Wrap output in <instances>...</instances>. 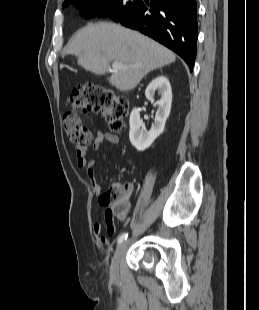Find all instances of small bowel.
<instances>
[{"mask_svg":"<svg viewBox=\"0 0 259 310\" xmlns=\"http://www.w3.org/2000/svg\"><path fill=\"white\" fill-rule=\"evenodd\" d=\"M119 141L118 137L114 134L105 133L102 131H98L92 141V146L94 149H99L105 142L111 143V144H117ZM75 154H76V162L79 168L84 169L87 175V178L90 181L93 193L95 195H99L101 192V185L97 181L96 172L94 170L95 161L93 159L87 158V148L85 146H77L75 148ZM126 190L128 192V195L130 197L133 186L131 184L125 185ZM105 217V223L107 226V233L109 235L115 234V225L113 220V215L111 213L104 212ZM124 225L128 223V220H124ZM93 232L97 235H100L102 233V224L101 223H94L93 224ZM100 242L102 244H108V238L105 236L100 237Z\"/></svg>","mask_w":259,"mask_h":310,"instance_id":"obj_1","label":"small bowel"}]
</instances>
